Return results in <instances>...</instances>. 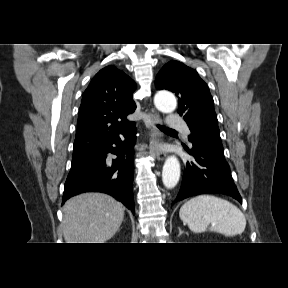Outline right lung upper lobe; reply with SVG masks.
Instances as JSON below:
<instances>
[{"instance_id":"cb5924a9","label":"right lung upper lobe","mask_w":288,"mask_h":288,"mask_svg":"<svg viewBox=\"0 0 288 288\" xmlns=\"http://www.w3.org/2000/svg\"><path fill=\"white\" fill-rule=\"evenodd\" d=\"M134 90V81L112 65L94 76L82 97L73 153L83 155L133 124L126 116L136 109Z\"/></svg>"}]
</instances>
